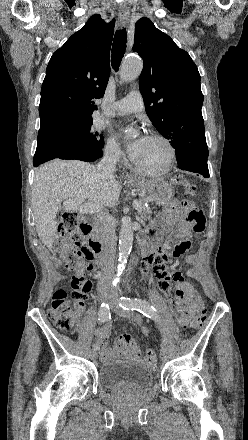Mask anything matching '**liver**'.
Masks as SVG:
<instances>
[{"instance_id": "liver-1", "label": "liver", "mask_w": 248, "mask_h": 440, "mask_svg": "<svg viewBox=\"0 0 248 440\" xmlns=\"http://www.w3.org/2000/svg\"><path fill=\"white\" fill-rule=\"evenodd\" d=\"M121 185L114 176H105L97 167L77 160H54L40 166L34 175L32 209L37 234L52 251L56 238L58 209L63 200L85 197L99 207L114 206Z\"/></svg>"}]
</instances>
